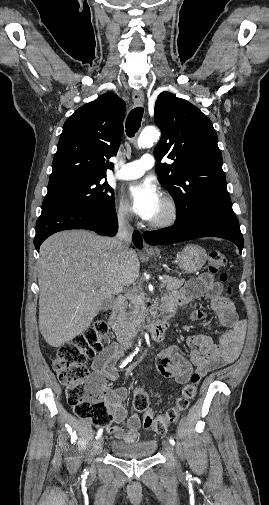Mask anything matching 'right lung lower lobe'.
<instances>
[{"label":"right lung lower lobe","mask_w":269,"mask_h":505,"mask_svg":"<svg viewBox=\"0 0 269 505\" xmlns=\"http://www.w3.org/2000/svg\"><path fill=\"white\" fill-rule=\"evenodd\" d=\"M68 229H87L103 236H114L118 230L115 208L110 215H101L76 204H55L42 208L36 222L34 246L39 252L42 242L50 235ZM132 241L142 248V236L135 231Z\"/></svg>","instance_id":"98d812e1"}]
</instances>
